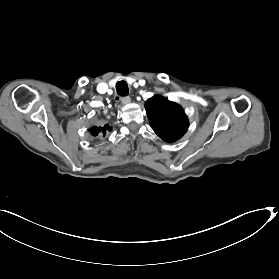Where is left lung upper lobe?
Instances as JSON below:
<instances>
[{
  "label": "left lung upper lobe",
  "instance_id": "5c2ea615",
  "mask_svg": "<svg viewBox=\"0 0 279 279\" xmlns=\"http://www.w3.org/2000/svg\"><path fill=\"white\" fill-rule=\"evenodd\" d=\"M145 108L151 128L165 142H175L187 131L188 119L178 104L155 95L146 101Z\"/></svg>",
  "mask_w": 279,
  "mask_h": 279
}]
</instances>
